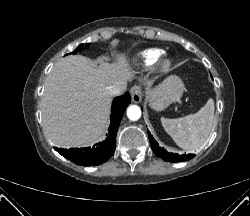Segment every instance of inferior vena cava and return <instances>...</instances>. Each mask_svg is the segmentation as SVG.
Wrapping results in <instances>:
<instances>
[{"label":"inferior vena cava","mask_w":250,"mask_h":216,"mask_svg":"<svg viewBox=\"0 0 250 216\" xmlns=\"http://www.w3.org/2000/svg\"><path fill=\"white\" fill-rule=\"evenodd\" d=\"M126 89V85L123 86H116L111 85L107 87V92L112 96H118L123 93V91Z\"/></svg>","instance_id":"602c4592"}]
</instances>
